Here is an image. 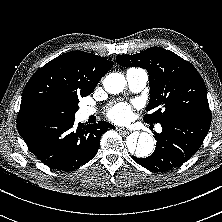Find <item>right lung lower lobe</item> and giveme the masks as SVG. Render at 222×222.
<instances>
[{
	"label": "right lung lower lobe",
	"mask_w": 222,
	"mask_h": 222,
	"mask_svg": "<svg viewBox=\"0 0 222 222\" xmlns=\"http://www.w3.org/2000/svg\"><path fill=\"white\" fill-rule=\"evenodd\" d=\"M74 120L35 118L17 123V128L30 151L44 164L71 171L89 162L98 151L102 134L114 129L105 121L73 128Z\"/></svg>",
	"instance_id": "98d812e1"
}]
</instances>
